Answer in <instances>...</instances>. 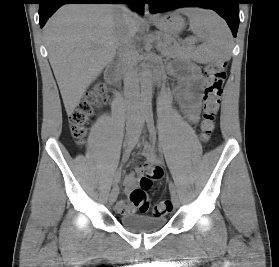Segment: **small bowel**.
I'll use <instances>...</instances> for the list:
<instances>
[{
	"label": "small bowel",
	"mask_w": 279,
	"mask_h": 267,
	"mask_svg": "<svg viewBox=\"0 0 279 267\" xmlns=\"http://www.w3.org/2000/svg\"><path fill=\"white\" fill-rule=\"evenodd\" d=\"M171 72L179 80V85L176 89V96L179 100L181 108L186 117L194 123L198 120L200 112L198 90L203 85V77L201 76L199 69L192 64H188L177 69L173 68L171 69ZM143 155L146 158L148 166H153L158 163L153 150L149 146L145 147ZM157 169L160 170V168ZM137 181L138 179L133 173H129L125 176L124 184L127 193H131L135 189ZM135 209L136 207L130 202L119 201L116 203V210L122 215L134 213Z\"/></svg>",
	"instance_id": "obj_1"
}]
</instances>
